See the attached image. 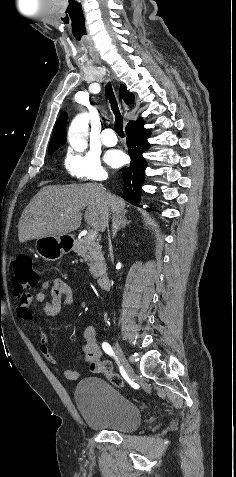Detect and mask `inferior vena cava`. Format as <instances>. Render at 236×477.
Masks as SVG:
<instances>
[{
	"label": "inferior vena cava",
	"instance_id": "602c4592",
	"mask_svg": "<svg viewBox=\"0 0 236 477\" xmlns=\"http://www.w3.org/2000/svg\"><path fill=\"white\" fill-rule=\"evenodd\" d=\"M108 223H109V210H108L107 206H105L104 211H103V227H104V229L106 227H108ZM109 250H110V256H111V259H112L110 237H109Z\"/></svg>",
	"mask_w": 236,
	"mask_h": 477
}]
</instances>
